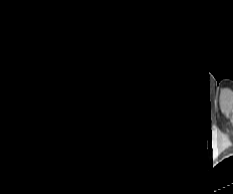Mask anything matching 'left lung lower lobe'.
I'll use <instances>...</instances> for the list:
<instances>
[{
    "label": "left lung lower lobe",
    "instance_id": "0a47b994",
    "mask_svg": "<svg viewBox=\"0 0 233 194\" xmlns=\"http://www.w3.org/2000/svg\"><path fill=\"white\" fill-rule=\"evenodd\" d=\"M183 159L182 155H158L146 152L142 158L143 166L149 170L160 172L167 170L179 163Z\"/></svg>",
    "mask_w": 233,
    "mask_h": 194
}]
</instances>
